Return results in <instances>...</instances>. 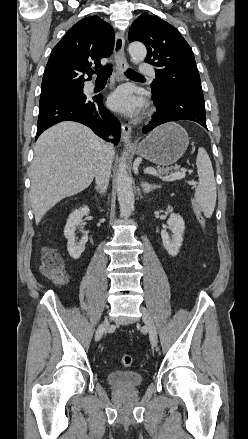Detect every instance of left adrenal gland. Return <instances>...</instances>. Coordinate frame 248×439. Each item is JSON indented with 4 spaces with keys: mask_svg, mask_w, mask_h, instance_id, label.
Masks as SVG:
<instances>
[{
    "mask_svg": "<svg viewBox=\"0 0 248 439\" xmlns=\"http://www.w3.org/2000/svg\"><path fill=\"white\" fill-rule=\"evenodd\" d=\"M141 187H142L144 193H149L153 189H156L158 186L155 184H149L148 182L142 181Z\"/></svg>",
    "mask_w": 248,
    "mask_h": 439,
    "instance_id": "obj_1",
    "label": "left adrenal gland"
}]
</instances>
